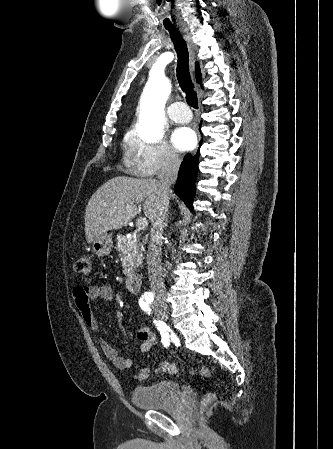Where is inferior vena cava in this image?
<instances>
[{"instance_id": "inferior-vena-cava-1", "label": "inferior vena cava", "mask_w": 333, "mask_h": 449, "mask_svg": "<svg viewBox=\"0 0 333 449\" xmlns=\"http://www.w3.org/2000/svg\"><path fill=\"white\" fill-rule=\"evenodd\" d=\"M181 160L175 154H170L167 164L159 175L161 196L157 206V213L152 223L150 243L147 254L148 274L151 291L156 296L164 294L163 269L161 266V245L165 216L169 207L170 186L177 180Z\"/></svg>"}]
</instances>
